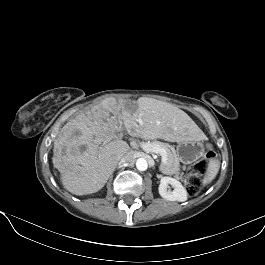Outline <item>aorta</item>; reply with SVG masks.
Returning <instances> with one entry per match:
<instances>
[{"mask_svg": "<svg viewBox=\"0 0 265 265\" xmlns=\"http://www.w3.org/2000/svg\"><path fill=\"white\" fill-rule=\"evenodd\" d=\"M136 168L139 171H145L148 168V163L147 160L145 158H138L136 160Z\"/></svg>", "mask_w": 265, "mask_h": 265, "instance_id": "obj_1", "label": "aorta"}]
</instances>
